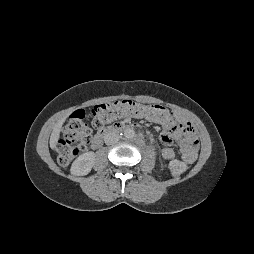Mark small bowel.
<instances>
[{"mask_svg":"<svg viewBox=\"0 0 254 254\" xmlns=\"http://www.w3.org/2000/svg\"><path fill=\"white\" fill-rule=\"evenodd\" d=\"M156 122L162 127L160 140L165 144L161 149L163 158L172 160L176 157V152L167 146V144L176 141L179 144L183 160L192 164L198 153V138L193 125L186 118L171 112L168 119Z\"/></svg>","mask_w":254,"mask_h":254,"instance_id":"obj_1","label":"small bowel"}]
</instances>
